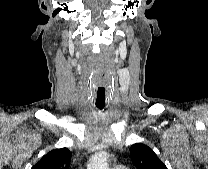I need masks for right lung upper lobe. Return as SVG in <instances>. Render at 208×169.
<instances>
[{
    "label": "right lung upper lobe",
    "mask_w": 208,
    "mask_h": 169,
    "mask_svg": "<svg viewBox=\"0 0 208 169\" xmlns=\"http://www.w3.org/2000/svg\"><path fill=\"white\" fill-rule=\"evenodd\" d=\"M72 153L67 148L45 154L31 169H69Z\"/></svg>",
    "instance_id": "1"
}]
</instances>
